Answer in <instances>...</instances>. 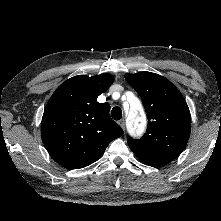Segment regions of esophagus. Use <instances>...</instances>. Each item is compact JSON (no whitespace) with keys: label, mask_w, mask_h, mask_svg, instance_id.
<instances>
[{"label":"esophagus","mask_w":221,"mask_h":221,"mask_svg":"<svg viewBox=\"0 0 221 221\" xmlns=\"http://www.w3.org/2000/svg\"><path fill=\"white\" fill-rule=\"evenodd\" d=\"M119 125L121 126V128L124 130L125 129V120L124 119H121L119 120Z\"/></svg>","instance_id":"1"}]
</instances>
